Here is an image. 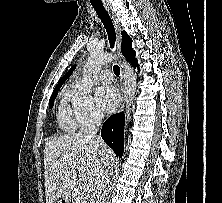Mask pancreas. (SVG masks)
Segmentation results:
<instances>
[{
  "label": "pancreas",
  "mask_w": 222,
  "mask_h": 203,
  "mask_svg": "<svg viewBox=\"0 0 222 203\" xmlns=\"http://www.w3.org/2000/svg\"><path fill=\"white\" fill-rule=\"evenodd\" d=\"M94 196L93 192H82L79 203H94Z\"/></svg>",
  "instance_id": "cf45deb5"
}]
</instances>
